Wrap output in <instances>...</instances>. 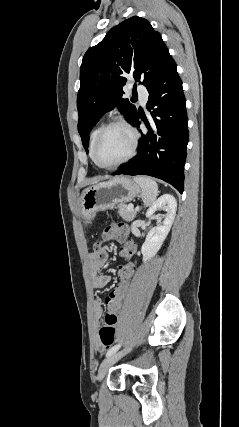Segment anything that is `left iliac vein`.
Listing matches in <instances>:
<instances>
[{"instance_id":"obj_1","label":"left iliac vein","mask_w":239,"mask_h":427,"mask_svg":"<svg viewBox=\"0 0 239 427\" xmlns=\"http://www.w3.org/2000/svg\"><path fill=\"white\" fill-rule=\"evenodd\" d=\"M129 350L130 348H125L119 352H115L114 354L104 359L99 367L97 379L99 381L103 380L109 368L114 365L120 358H122Z\"/></svg>"}]
</instances>
